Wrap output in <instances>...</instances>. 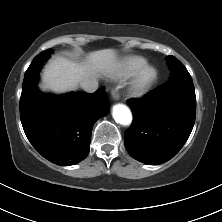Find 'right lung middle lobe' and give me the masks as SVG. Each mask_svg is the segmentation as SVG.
<instances>
[{"label": "right lung middle lobe", "mask_w": 222, "mask_h": 222, "mask_svg": "<svg viewBox=\"0 0 222 222\" xmlns=\"http://www.w3.org/2000/svg\"><path fill=\"white\" fill-rule=\"evenodd\" d=\"M51 53L52 49H48L41 52L33 59L32 63L25 73L22 89H26L28 86L33 85L37 82L38 72L41 66L44 64V61L50 56Z\"/></svg>", "instance_id": "1"}]
</instances>
